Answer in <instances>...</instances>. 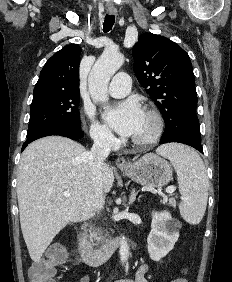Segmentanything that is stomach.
Segmentation results:
<instances>
[{"mask_svg": "<svg viewBox=\"0 0 232 282\" xmlns=\"http://www.w3.org/2000/svg\"><path fill=\"white\" fill-rule=\"evenodd\" d=\"M122 172L143 186L161 187L172 179V167L162 157L148 153L131 164Z\"/></svg>", "mask_w": 232, "mask_h": 282, "instance_id": "1", "label": "stomach"}]
</instances>
